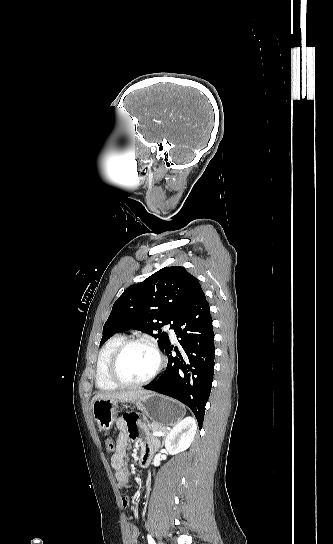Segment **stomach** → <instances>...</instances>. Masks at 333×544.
Segmentation results:
<instances>
[{
    "label": "stomach",
    "instance_id": "0dacf381",
    "mask_svg": "<svg viewBox=\"0 0 333 544\" xmlns=\"http://www.w3.org/2000/svg\"><path fill=\"white\" fill-rule=\"evenodd\" d=\"M135 404L153 422L163 427L175 425L185 415L182 404L156 393H148L136 399ZM117 401L96 400L92 403L94 420L103 431H109L116 420Z\"/></svg>",
    "mask_w": 333,
    "mask_h": 544
}]
</instances>
